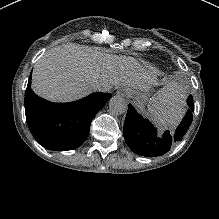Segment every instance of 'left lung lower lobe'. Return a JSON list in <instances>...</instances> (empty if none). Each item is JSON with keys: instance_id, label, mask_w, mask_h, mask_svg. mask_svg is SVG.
<instances>
[{"instance_id": "0a47b994", "label": "left lung lower lobe", "mask_w": 219, "mask_h": 219, "mask_svg": "<svg viewBox=\"0 0 219 219\" xmlns=\"http://www.w3.org/2000/svg\"><path fill=\"white\" fill-rule=\"evenodd\" d=\"M187 111L179 127L173 132L165 131L163 136L157 134L156 128L144 119L130 104L124 123V137L128 146L135 153L143 156H159L170 150L171 144L180 141L192 122L194 110L193 99L187 102Z\"/></svg>"}]
</instances>
